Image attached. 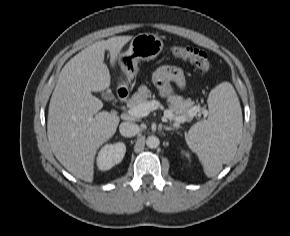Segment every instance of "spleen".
I'll use <instances>...</instances> for the list:
<instances>
[{
  "mask_svg": "<svg viewBox=\"0 0 290 236\" xmlns=\"http://www.w3.org/2000/svg\"><path fill=\"white\" fill-rule=\"evenodd\" d=\"M209 117L194 124L186 142L197 154L207 177H214L222 164L230 162L242 137V110L235 89L229 82L213 88L208 97Z\"/></svg>",
  "mask_w": 290,
  "mask_h": 236,
  "instance_id": "obj_1",
  "label": "spleen"
}]
</instances>
